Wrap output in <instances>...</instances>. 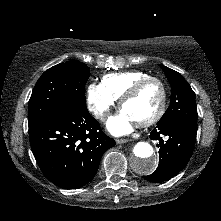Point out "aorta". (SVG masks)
I'll list each match as a JSON object with an SVG mask.
<instances>
[{
	"label": "aorta",
	"mask_w": 221,
	"mask_h": 221,
	"mask_svg": "<svg viewBox=\"0 0 221 221\" xmlns=\"http://www.w3.org/2000/svg\"><path fill=\"white\" fill-rule=\"evenodd\" d=\"M134 159L132 168L139 174H150L155 171L158 165L157 155L148 142H138L133 147Z\"/></svg>",
	"instance_id": "762f6f07"
}]
</instances>
